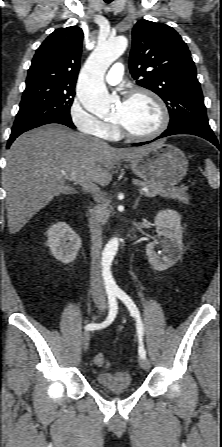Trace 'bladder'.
I'll return each instance as SVG.
<instances>
[{
	"label": "bladder",
	"mask_w": 222,
	"mask_h": 447,
	"mask_svg": "<svg viewBox=\"0 0 222 447\" xmlns=\"http://www.w3.org/2000/svg\"><path fill=\"white\" fill-rule=\"evenodd\" d=\"M97 384L109 392H118L131 389L133 379L128 371L100 372L95 375Z\"/></svg>",
	"instance_id": "31cf9c89"
}]
</instances>
